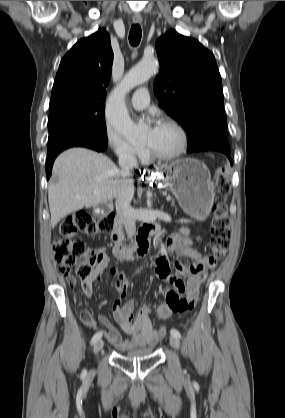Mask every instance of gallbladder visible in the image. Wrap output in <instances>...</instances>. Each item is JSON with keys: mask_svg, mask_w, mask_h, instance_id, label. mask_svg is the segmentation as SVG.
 <instances>
[{"mask_svg": "<svg viewBox=\"0 0 285 418\" xmlns=\"http://www.w3.org/2000/svg\"><path fill=\"white\" fill-rule=\"evenodd\" d=\"M104 208L106 209V208H107V206H106V205H104Z\"/></svg>", "mask_w": 285, "mask_h": 418, "instance_id": "gallbladder-1", "label": "gallbladder"}]
</instances>
